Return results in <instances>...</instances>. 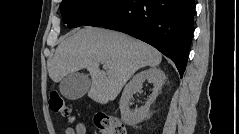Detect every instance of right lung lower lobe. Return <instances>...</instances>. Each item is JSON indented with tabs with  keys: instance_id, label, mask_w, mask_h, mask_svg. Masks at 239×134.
<instances>
[{
	"instance_id": "obj_1",
	"label": "right lung lower lobe",
	"mask_w": 239,
	"mask_h": 134,
	"mask_svg": "<svg viewBox=\"0 0 239 134\" xmlns=\"http://www.w3.org/2000/svg\"><path fill=\"white\" fill-rule=\"evenodd\" d=\"M194 0H116L84 25L138 38L172 59L182 77L194 28Z\"/></svg>"
}]
</instances>
